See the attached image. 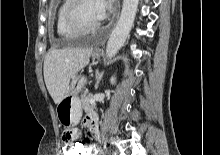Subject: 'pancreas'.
<instances>
[{
  "instance_id": "pancreas-1",
  "label": "pancreas",
  "mask_w": 220,
  "mask_h": 155,
  "mask_svg": "<svg viewBox=\"0 0 220 155\" xmlns=\"http://www.w3.org/2000/svg\"><path fill=\"white\" fill-rule=\"evenodd\" d=\"M91 98H92L91 95H84L81 98L82 107L85 112H89L95 108V103L93 104L90 103Z\"/></svg>"
}]
</instances>
